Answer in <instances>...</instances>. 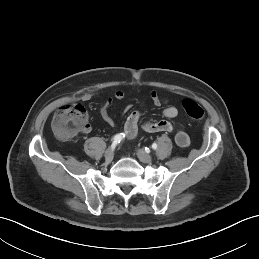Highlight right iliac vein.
<instances>
[{
    "mask_svg": "<svg viewBox=\"0 0 259 259\" xmlns=\"http://www.w3.org/2000/svg\"><path fill=\"white\" fill-rule=\"evenodd\" d=\"M105 160L107 163H110L112 160H113V157H114V151L112 148H109L105 151Z\"/></svg>",
    "mask_w": 259,
    "mask_h": 259,
    "instance_id": "63e3f726",
    "label": "right iliac vein"
}]
</instances>
